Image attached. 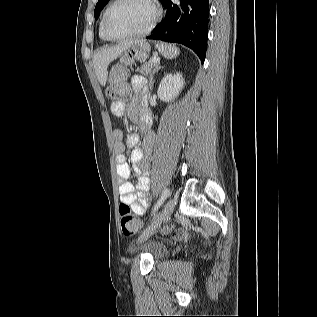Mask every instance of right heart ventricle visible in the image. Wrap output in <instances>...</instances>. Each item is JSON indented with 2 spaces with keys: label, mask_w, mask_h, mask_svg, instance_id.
Returning a JSON list of instances; mask_svg holds the SVG:
<instances>
[{
  "label": "right heart ventricle",
  "mask_w": 317,
  "mask_h": 317,
  "mask_svg": "<svg viewBox=\"0 0 317 317\" xmlns=\"http://www.w3.org/2000/svg\"><path fill=\"white\" fill-rule=\"evenodd\" d=\"M108 8V7H107ZM107 8L105 9V11L103 12V15L101 17V21H100V25H99V36L102 40L107 41L106 37L103 34V28H102V22H103V16L107 10Z\"/></svg>",
  "instance_id": "1"
}]
</instances>
